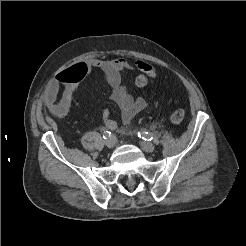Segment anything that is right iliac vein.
Masks as SVG:
<instances>
[{
    "mask_svg": "<svg viewBox=\"0 0 246 246\" xmlns=\"http://www.w3.org/2000/svg\"><path fill=\"white\" fill-rule=\"evenodd\" d=\"M105 145L108 147V148H112L114 145H115V140L110 137V138H107L105 140Z\"/></svg>",
    "mask_w": 246,
    "mask_h": 246,
    "instance_id": "obj_1",
    "label": "right iliac vein"
}]
</instances>
